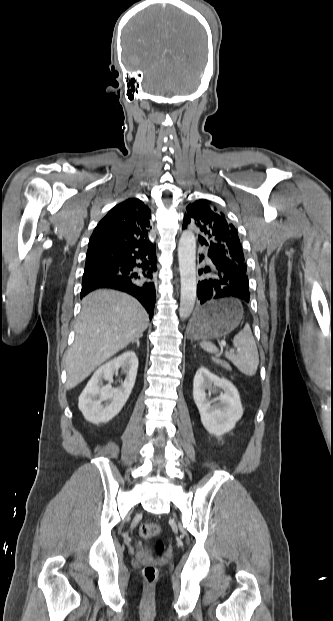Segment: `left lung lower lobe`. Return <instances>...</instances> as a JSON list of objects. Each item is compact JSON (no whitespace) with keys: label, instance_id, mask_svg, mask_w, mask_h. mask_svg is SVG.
<instances>
[{"label":"left lung lower lobe","instance_id":"0a47b994","mask_svg":"<svg viewBox=\"0 0 333 621\" xmlns=\"http://www.w3.org/2000/svg\"><path fill=\"white\" fill-rule=\"evenodd\" d=\"M201 245L208 246L205 257L211 263V267L199 270V275L208 274L198 281L197 296L200 304L210 300L236 297L249 302V280L246 269L239 267L229 257L209 247L208 243L200 239ZM211 275V277H209Z\"/></svg>","mask_w":333,"mask_h":621}]
</instances>
